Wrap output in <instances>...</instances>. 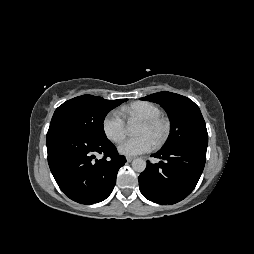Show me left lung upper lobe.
Instances as JSON below:
<instances>
[{"label": "left lung upper lobe", "instance_id": "5c2ea615", "mask_svg": "<svg viewBox=\"0 0 254 254\" xmlns=\"http://www.w3.org/2000/svg\"><path fill=\"white\" fill-rule=\"evenodd\" d=\"M160 104L171 121V133L161 150H169L179 145L200 143L208 145V133L199 107L189 98L162 91L141 98Z\"/></svg>", "mask_w": 254, "mask_h": 254}]
</instances>
